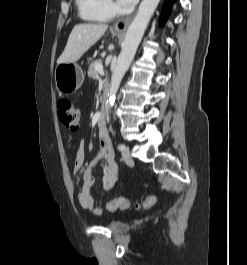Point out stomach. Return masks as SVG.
Returning a JSON list of instances; mask_svg holds the SVG:
<instances>
[{
    "label": "stomach",
    "instance_id": "0dacf381",
    "mask_svg": "<svg viewBox=\"0 0 247 265\" xmlns=\"http://www.w3.org/2000/svg\"><path fill=\"white\" fill-rule=\"evenodd\" d=\"M84 73L76 63H61L55 68V84L62 94L74 92L81 87Z\"/></svg>",
    "mask_w": 247,
    "mask_h": 265
}]
</instances>
